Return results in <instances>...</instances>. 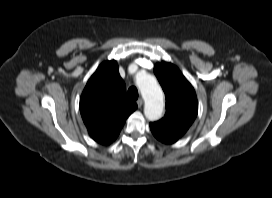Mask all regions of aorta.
Returning <instances> with one entry per match:
<instances>
[{
	"label": "aorta",
	"mask_w": 272,
	"mask_h": 198,
	"mask_svg": "<svg viewBox=\"0 0 272 198\" xmlns=\"http://www.w3.org/2000/svg\"><path fill=\"white\" fill-rule=\"evenodd\" d=\"M136 83L145 101L144 114L149 121H156L163 115L164 94L154 76H137Z\"/></svg>",
	"instance_id": "aorta-1"
}]
</instances>
